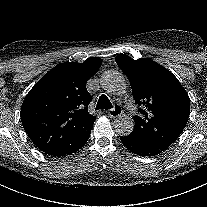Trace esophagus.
<instances>
[{"instance_id": "esophagus-1", "label": "esophagus", "mask_w": 207, "mask_h": 207, "mask_svg": "<svg viewBox=\"0 0 207 207\" xmlns=\"http://www.w3.org/2000/svg\"><path fill=\"white\" fill-rule=\"evenodd\" d=\"M106 113L111 118H116L122 114V108L120 106H116L114 109H109Z\"/></svg>"}]
</instances>
